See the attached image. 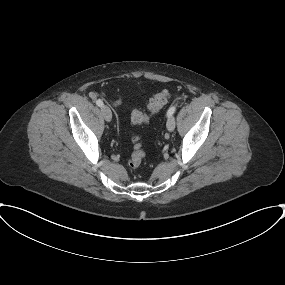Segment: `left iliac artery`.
Returning a JSON list of instances; mask_svg holds the SVG:
<instances>
[{
    "label": "left iliac artery",
    "instance_id": "44dca946",
    "mask_svg": "<svg viewBox=\"0 0 285 285\" xmlns=\"http://www.w3.org/2000/svg\"><path fill=\"white\" fill-rule=\"evenodd\" d=\"M176 111V106H172L169 108L168 112H167V116H171L174 114V112Z\"/></svg>",
    "mask_w": 285,
    "mask_h": 285
}]
</instances>
